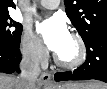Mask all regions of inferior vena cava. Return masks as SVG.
Instances as JSON below:
<instances>
[{"instance_id": "obj_1", "label": "inferior vena cava", "mask_w": 107, "mask_h": 89, "mask_svg": "<svg viewBox=\"0 0 107 89\" xmlns=\"http://www.w3.org/2000/svg\"><path fill=\"white\" fill-rule=\"evenodd\" d=\"M20 70L21 89H33L41 72L39 53L35 51L33 54L24 57L20 63Z\"/></svg>"}]
</instances>
